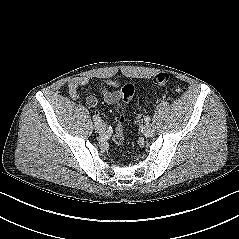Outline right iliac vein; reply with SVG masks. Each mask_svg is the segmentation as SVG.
<instances>
[{"label":"right iliac vein","instance_id":"1","mask_svg":"<svg viewBox=\"0 0 239 239\" xmlns=\"http://www.w3.org/2000/svg\"><path fill=\"white\" fill-rule=\"evenodd\" d=\"M94 128H95V131L99 134H102L104 133L105 129H106V125L100 121V122H95L94 123Z\"/></svg>","mask_w":239,"mask_h":239}]
</instances>
